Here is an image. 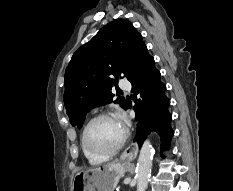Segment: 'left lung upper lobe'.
<instances>
[{
  "label": "left lung upper lobe",
  "mask_w": 233,
  "mask_h": 191,
  "mask_svg": "<svg viewBox=\"0 0 233 191\" xmlns=\"http://www.w3.org/2000/svg\"><path fill=\"white\" fill-rule=\"evenodd\" d=\"M148 55L141 34L123 19L108 23L81 46L65 72L63 99L72 126L81 128L92 108L113 102L111 89L118 78L129 79ZM114 102L127 108L124 97Z\"/></svg>",
  "instance_id": "left-lung-upper-lobe-1"
}]
</instances>
